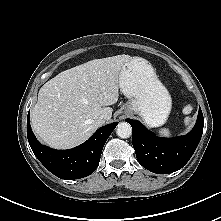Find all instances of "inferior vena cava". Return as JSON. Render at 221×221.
Here are the masks:
<instances>
[{"instance_id": "inferior-vena-cava-1", "label": "inferior vena cava", "mask_w": 221, "mask_h": 221, "mask_svg": "<svg viewBox=\"0 0 221 221\" xmlns=\"http://www.w3.org/2000/svg\"><path fill=\"white\" fill-rule=\"evenodd\" d=\"M97 123L102 125L105 123V116L104 115H100L99 118L97 119Z\"/></svg>"}]
</instances>
